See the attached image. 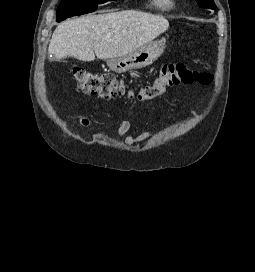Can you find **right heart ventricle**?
<instances>
[{
  "label": "right heart ventricle",
  "instance_id": "obj_1",
  "mask_svg": "<svg viewBox=\"0 0 255 272\" xmlns=\"http://www.w3.org/2000/svg\"><path fill=\"white\" fill-rule=\"evenodd\" d=\"M149 6L160 12H167L175 7L174 0H149Z\"/></svg>",
  "mask_w": 255,
  "mask_h": 272
}]
</instances>
